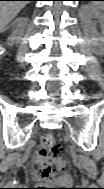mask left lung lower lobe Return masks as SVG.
<instances>
[{"mask_svg": "<svg viewBox=\"0 0 104 189\" xmlns=\"http://www.w3.org/2000/svg\"><path fill=\"white\" fill-rule=\"evenodd\" d=\"M78 1H93V0H78Z\"/></svg>", "mask_w": 104, "mask_h": 189, "instance_id": "obj_1", "label": "left lung lower lobe"}]
</instances>
